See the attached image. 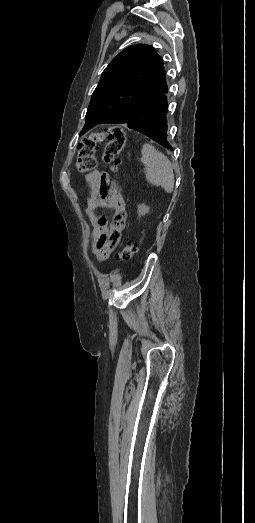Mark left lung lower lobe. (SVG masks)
Returning a JSON list of instances; mask_svg holds the SVG:
<instances>
[{"mask_svg": "<svg viewBox=\"0 0 255 523\" xmlns=\"http://www.w3.org/2000/svg\"><path fill=\"white\" fill-rule=\"evenodd\" d=\"M166 128L167 121L162 120L148 127H136V132H143V136L150 137V140H158L157 144L163 146V149H171V144L167 140L168 134L164 131Z\"/></svg>", "mask_w": 255, "mask_h": 523, "instance_id": "0a47b994", "label": "left lung lower lobe"}]
</instances>
